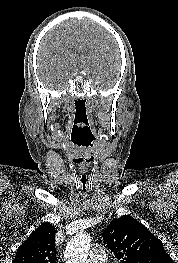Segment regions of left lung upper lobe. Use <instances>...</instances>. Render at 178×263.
<instances>
[{"instance_id":"1","label":"left lung upper lobe","mask_w":178,"mask_h":263,"mask_svg":"<svg viewBox=\"0 0 178 263\" xmlns=\"http://www.w3.org/2000/svg\"><path fill=\"white\" fill-rule=\"evenodd\" d=\"M103 240L121 263H174L161 240L129 215L113 219Z\"/></svg>"}]
</instances>
